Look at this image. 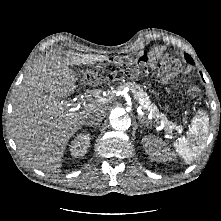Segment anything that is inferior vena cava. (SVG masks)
I'll list each match as a JSON object with an SVG mask.
<instances>
[{
  "instance_id": "1",
  "label": "inferior vena cava",
  "mask_w": 221,
  "mask_h": 221,
  "mask_svg": "<svg viewBox=\"0 0 221 221\" xmlns=\"http://www.w3.org/2000/svg\"><path fill=\"white\" fill-rule=\"evenodd\" d=\"M103 119V114L98 110H93L88 119V124L98 125Z\"/></svg>"
}]
</instances>
